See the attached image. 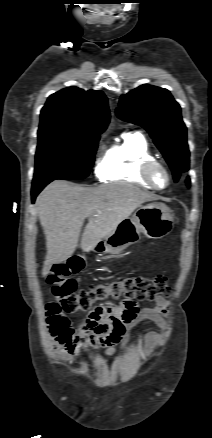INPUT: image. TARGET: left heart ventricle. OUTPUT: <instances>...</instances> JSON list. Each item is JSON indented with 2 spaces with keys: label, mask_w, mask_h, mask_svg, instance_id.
<instances>
[{
  "label": "left heart ventricle",
  "mask_w": 212,
  "mask_h": 438,
  "mask_svg": "<svg viewBox=\"0 0 212 438\" xmlns=\"http://www.w3.org/2000/svg\"><path fill=\"white\" fill-rule=\"evenodd\" d=\"M152 180L158 187H163L167 183V176L162 168H155L152 171Z\"/></svg>",
  "instance_id": "obj_1"
}]
</instances>
